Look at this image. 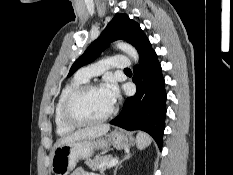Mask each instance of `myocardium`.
Masks as SVG:
<instances>
[{"label": "myocardium", "mask_w": 233, "mask_h": 175, "mask_svg": "<svg viewBox=\"0 0 233 175\" xmlns=\"http://www.w3.org/2000/svg\"><path fill=\"white\" fill-rule=\"evenodd\" d=\"M100 88L97 84L86 83L75 90H73L65 99L62 106L63 120L70 126L82 127L102 123L111 118L116 113V107L113 105L112 109L105 115L99 118H82L75 112V106L79 99L86 93Z\"/></svg>", "instance_id": "1"}]
</instances>
